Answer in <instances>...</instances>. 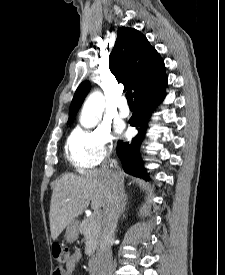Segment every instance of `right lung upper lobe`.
<instances>
[{
  "instance_id": "obj_1",
  "label": "right lung upper lobe",
  "mask_w": 225,
  "mask_h": 275,
  "mask_svg": "<svg viewBox=\"0 0 225 275\" xmlns=\"http://www.w3.org/2000/svg\"><path fill=\"white\" fill-rule=\"evenodd\" d=\"M109 68L118 82L134 90V97L165 75L164 62L158 52L141 32L132 28L117 31L115 46L109 56ZM89 90L88 81L77 88L70 105L68 123L75 117Z\"/></svg>"
}]
</instances>
